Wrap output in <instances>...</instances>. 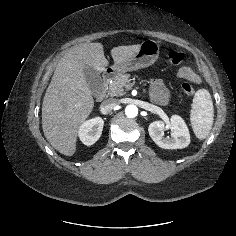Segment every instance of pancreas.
<instances>
[{"instance_id":"1","label":"pancreas","mask_w":236,"mask_h":236,"mask_svg":"<svg viewBox=\"0 0 236 236\" xmlns=\"http://www.w3.org/2000/svg\"><path fill=\"white\" fill-rule=\"evenodd\" d=\"M130 74H119L109 85L108 94L110 96H123L126 94V90L131 88Z\"/></svg>"}]
</instances>
